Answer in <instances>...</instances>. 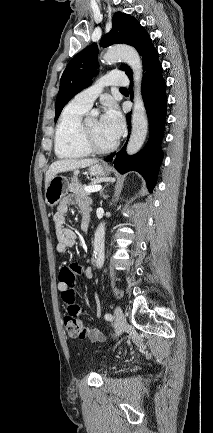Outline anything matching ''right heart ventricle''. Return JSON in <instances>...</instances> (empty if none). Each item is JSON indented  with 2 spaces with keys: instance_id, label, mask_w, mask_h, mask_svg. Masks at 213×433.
Listing matches in <instances>:
<instances>
[{
  "instance_id": "obj_1",
  "label": "right heart ventricle",
  "mask_w": 213,
  "mask_h": 433,
  "mask_svg": "<svg viewBox=\"0 0 213 433\" xmlns=\"http://www.w3.org/2000/svg\"><path fill=\"white\" fill-rule=\"evenodd\" d=\"M87 109L70 102L62 111L56 127L54 150L58 157L72 159L90 154L80 137L82 117Z\"/></svg>"
}]
</instances>
